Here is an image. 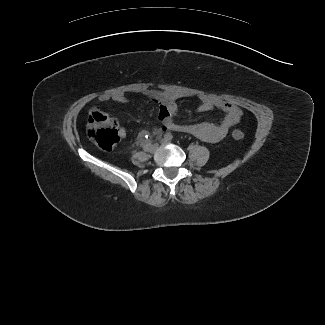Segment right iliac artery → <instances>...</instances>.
<instances>
[{
  "label": "right iliac artery",
  "instance_id": "82829eb1",
  "mask_svg": "<svg viewBox=\"0 0 325 325\" xmlns=\"http://www.w3.org/2000/svg\"><path fill=\"white\" fill-rule=\"evenodd\" d=\"M151 146V142L150 141H147L144 145H143V148L144 150H148V148Z\"/></svg>",
  "mask_w": 325,
  "mask_h": 325
}]
</instances>
